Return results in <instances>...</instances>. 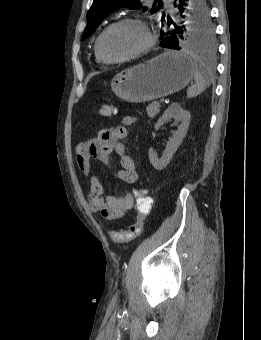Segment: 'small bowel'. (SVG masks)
I'll return each mask as SVG.
<instances>
[{
  "label": "small bowel",
  "mask_w": 261,
  "mask_h": 340,
  "mask_svg": "<svg viewBox=\"0 0 261 340\" xmlns=\"http://www.w3.org/2000/svg\"><path fill=\"white\" fill-rule=\"evenodd\" d=\"M135 121L134 116L126 115L122 119V126L101 129L96 137L79 142L75 148L78 168L84 176L89 178L90 210L100 212L103 217L110 220L125 217L133 207L134 197L130 192L119 197L108 195L98 176L91 173V159H97L105 166L113 168L115 166L113 153H116L120 162L117 177L128 184L136 183L138 174L135 162L126 154L122 142L128 135L127 128L134 125Z\"/></svg>",
  "instance_id": "c3829d8e"
}]
</instances>
